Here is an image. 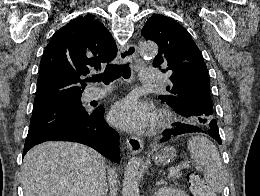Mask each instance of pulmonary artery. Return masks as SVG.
<instances>
[{
	"instance_id": "1",
	"label": "pulmonary artery",
	"mask_w": 260,
	"mask_h": 196,
	"mask_svg": "<svg viewBox=\"0 0 260 196\" xmlns=\"http://www.w3.org/2000/svg\"><path fill=\"white\" fill-rule=\"evenodd\" d=\"M140 73L143 74L140 79V84H156V77H158V69H141ZM116 85H110L108 87L99 88L91 87L86 91V101L90 102L111 93L112 90H116Z\"/></svg>"
}]
</instances>
